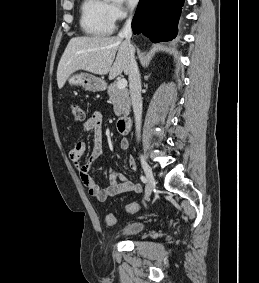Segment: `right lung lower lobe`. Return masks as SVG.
Here are the masks:
<instances>
[{
	"mask_svg": "<svg viewBox=\"0 0 259 283\" xmlns=\"http://www.w3.org/2000/svg\"><path fill=\"white\" fill-rule=\"evenodd\" d=\"M184 0H140L132 21L134 34L142 33L154 43L176 37Z\"/></svg>",
	"mask_w": 259,
	"mask_h": 283,
	"instance_id": "1",
	"label": "right lung lower lobe"
}]
</instances>
